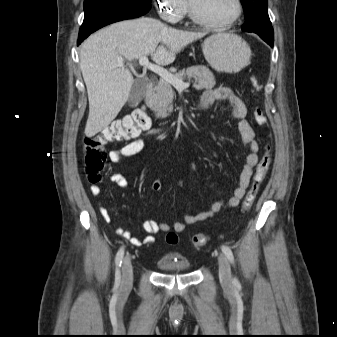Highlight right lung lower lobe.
Listing matches in <instances>:
<instances>
[{
	"label": "right lung lower lobe",
	"mask_w": 337,
	"mask_h": 337,
	"mask_svg": "<svg viewBox=\"0 0 337 337\" xmlns=\"http://www.w3.org/2000/svg\"><path fill=\"white\" fill-rule=\"evenodd\" d=\"M151 6H140L118 0H106L89 6L80 27L77 45L94 31L117 21L132 19L146 14Z\"/></svg>",
	"instance_id": "1"
}]
</instances>
